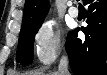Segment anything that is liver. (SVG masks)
Instances as JSON below:
<instances>
[{"label": "liver", "instance_id": "obj_1", "mask_svg": "<svg viewBox=\"0 0 107 75\" xmlns=\"http://www.w3.org/2000/svg\"><path fill=\"white\" fill-rule=\"evenodd\" d=\"M22 75H44V74H39L37 72H28V73H25V74H22ZM47 75H58L57 72H53V73H49Z\"/></svg>", "mask_w": 107, "mask_h": 75}]
</instances>
